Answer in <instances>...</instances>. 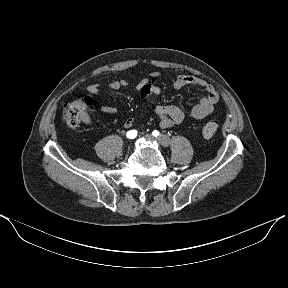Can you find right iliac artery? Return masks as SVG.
Instances as JSON below:
<instances>
[{
  "label": "right iliac artery",
  "instance_id": "1",
  "mask_svg": "<svg viewBox=\"0 0 288 288\" xmlns=\"http://www.w3.org/2000/svg\"><path fill=\"white\" fill-rule=\"evenodd\" d=\"M126 136L129 139H134L137 136V131L136 130H130L127 132Z\"/></svg>",
  "mask_w": 288,
  "mask_h": 288
}]
</instances>
